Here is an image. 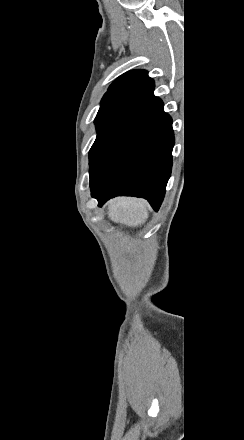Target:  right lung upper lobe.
<instances>
[{"label": "right lung upper lobe", "instance_id": "obj_1", "mask_svg": "<svg viewBox=\"0 0 244 440\" xmlns=\"http://www.w3.org/2000/svg\"><path fill=\"white\" fill-rule=\"evenodd\" d=\"M154 81L145 70H132L117 78L105 93L103 100L116 98L143 99L153 93Z\"/></svg>", "mask_w": 244, "mask_h": 440}]
</instances>
